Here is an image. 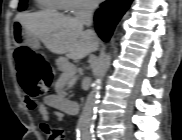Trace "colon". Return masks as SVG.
<instances>
[{"label": "colon", "mask_w": 182, "mask_h": 140, "mask_svg": "<svg viewBox=\"0 0 182 140\" xmlns=\"http://www.w3.org/2000/svg\"><path fill=\"white\" fill-rule=\"evenodd\" d=\"M17 76L26 94V100L36 104L38 97L47 93L52 81V69L38 52L21 47L15 53Z\"/></svg>", "instance_id": "5ec220e1"}]
</instances>
